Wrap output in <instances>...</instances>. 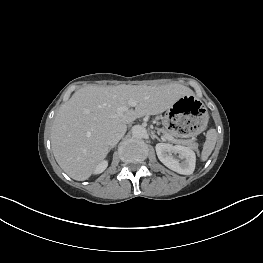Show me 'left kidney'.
Here are the masks:
<instances>
[{"instance_id":"obj_1","label":"left kidney","mask_w":263,"mask_h":263,"mask_svg":"<svg viewBox=\"0 0 263 263\" xmlns=\"http://www.w3.org/2000/svg\"><path fill=\"white\" fill-rule=\"evenodd\" d=\"M155 149L159 160L169 169L183 175H190L194 172L196 155L190 148L181 145L158 143ZM172 154H179L183 161L180 163Z\"/></svg>"}]
</instances>
